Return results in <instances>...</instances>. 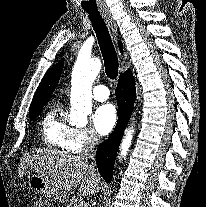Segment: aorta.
<instances>
[{
    "instance_id": "aorta-1",
    "label": "aorta",
    "mask_w": 206,
    "mask_h": 207,
    "mask_svg": "<svg viewBox=\"0 0 206 207\" xmlns=\"http://www.w3.org/2000/svg\"><path fill=\"white\" fill-rule=\"evenodd\" d=\"M98 58L78 57L74 65L71 81L69 121L76 126H85L92 111V84L101 70ZM134 128L127 129L121 145L120 158L127 155L133 139Z\"/></svg>"
}]
</instances>
